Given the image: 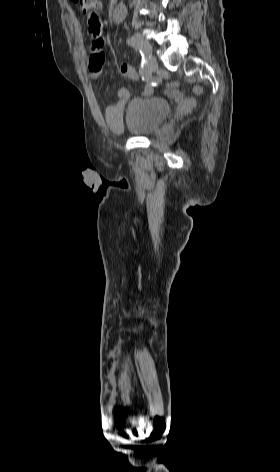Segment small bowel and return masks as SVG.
<instances>
[{
  "instance_id": "1",
  "label": "small bowel",
  "mask_w": 280,
  "mask_h": 472,
  "mask_svg": "<svg viewBox=\"0 0 280 472\" xmlns=\"http://www.w3.org/2000/svg\"><path fill=\"white\" fill-rule=\"evenodd\" d=\"M88 32L91 38L90 57L88 60V70L92 78L100 76L104 72L105 56L103 52L104 38L102 33V23L88 21ZM151 92V88L145 87V94ZM129 93L125 87L121 88L115 98L108 104L105 112L106 120L111 128L119 126L120 117Z\"/></svg>"
}]
</instances>
